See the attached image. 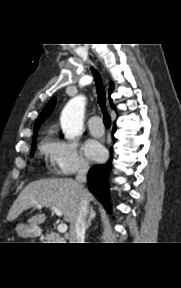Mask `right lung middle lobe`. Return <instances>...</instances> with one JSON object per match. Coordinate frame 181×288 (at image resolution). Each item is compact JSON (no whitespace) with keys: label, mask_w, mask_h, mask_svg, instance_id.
I'll return each instance as SVG.
<instances>
[{"label":"right lung middle lobe","mask_w":181,"mask_h":288,"mask_svg":"<svg viewBox=\"0 0 181 288\" xmlns=\"http://www.w3.org/2000/svg\"><path fill=\"white\" fill-rule=\"evenodd\" d=\"M35 149H36V140L33 141L31 154H34Z\"/></svg>","instance_id":"obj_1"}]
</instances>
